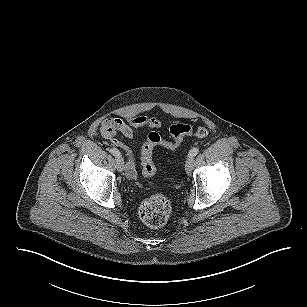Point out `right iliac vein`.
Wrapping results in <instances>:
<instances>
[{
    "instance_id": "63e3f726",
    "label": "right iliac vein",
    "mask_w": 307,
    "mask_h": 307,
    "mask_svg": "<svg viewBox=\"0 0 307 307\" xmlns=\"http://www.w3.org/2000/svg\"><path fill=\"white\" fill-rule=\"evenodd\" d=\"M116 167L119 172H122L125 169L124 160L121 157L116 158Z\"/></svg>"
}]
</instances>
